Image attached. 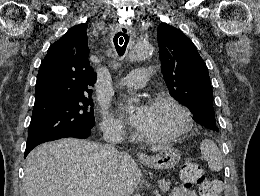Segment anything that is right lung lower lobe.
<instances>
[{"instance_id": "obj_1", "label": "right lung lower lobe", "mask_w": 260, "mask_h": 196, "mask_svg": "<svg viewBox=\"0 0 260 196\" xmlns=\"http://www.w3.org/2000/svg\"><path fill=\"white\" fill-rule=\"evenodd\" d=\"M91 134V130H85V131H79V132H75L72 134H69L67 136H64L62 138H67V137H75V138H81V139H85L87 137H89ZM33 148H26L25 150V157L27 156V154L32 150Z\"/></svg>"}]
</instances>
